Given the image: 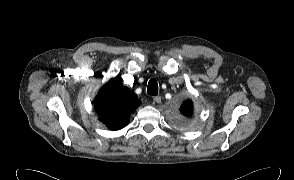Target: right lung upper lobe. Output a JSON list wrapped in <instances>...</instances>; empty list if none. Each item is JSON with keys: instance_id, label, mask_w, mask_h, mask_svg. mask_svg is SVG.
<instances>
[{"instance_id": "right-lung-upper-lobe-1", "label": "right lung upper lobe", "mask_w": 294, "mask_h": 180, "mask_svg": "<svg viewBox=\"0 0 294 180\" xmlns=\"http://www.w3.org/2000/svg\"><path fill=\"white\" fill-rule=\"evenodd\" d=\"M139 103L134 92L113 78L98 93L95 110L102 123L111 130H118L128 124L131 113Z\"/></svg>"}]
</instances>
